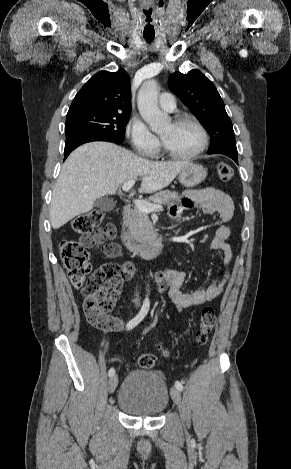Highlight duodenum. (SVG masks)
I'll return each instance as SVG.
<instances>
[{
    "mask_svg": "<svg viewBox=\"0 0 291 469\" xmlns=\"http://www.w3.org/2000/svg\"><path fill=\"white\" fill-rule=\"evenodd\" d=\"M132 208L130 205H125L122 210L123 225L121 230V242L130 251L137 253L143 258L151 259L156 258L162 254L163 245L160 243L155 244H141L133 239L128 229V222L131 216Z\"/></svg>",
    "mask_w": 291,
    "mask_h": 469,
    "instance_id": "obj_1",
    "label": "duodenum"
}]
</instances>
